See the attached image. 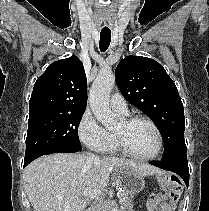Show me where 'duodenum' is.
<instances>
[{"label": "duodenum", "mask_w": 209, "mask_h": 211, "mask_svg": "<svg viewBox=\"0 0 209 211\" xmlns=\"http://www.w3.org/2000/svg\"><path fill=\"white\" fill-rule=\"evenodd\" d=\"M86 211H92L91 209H87Z\"/></svg>", "instance_id": "duodenum-1"}]
</instances>
